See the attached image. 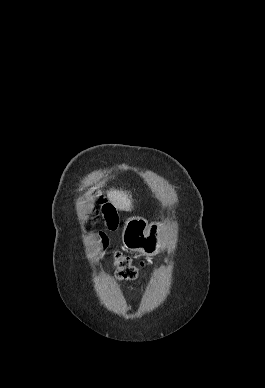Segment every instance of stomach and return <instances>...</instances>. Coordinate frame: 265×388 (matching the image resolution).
I'll list each match as a JSON object with an SVG mask.
<instances>
[{
	"instance_id": "1",
	"label": "stomach",
	"mask_w": 265,
	"mask_h": 388,
	"mask_svg": "<svg viewBox=\"0 0 265 388\" xmlns=\"http://www.w3.org/2000/svg\"><path fill=\"white\" fill-rule=\"evenodd\" d=\"M163 236L161 224H148L143 218L133 217L125 223L122 240L127 249L151 256L159 251Z\"/></svg>"
}]
</instances>
